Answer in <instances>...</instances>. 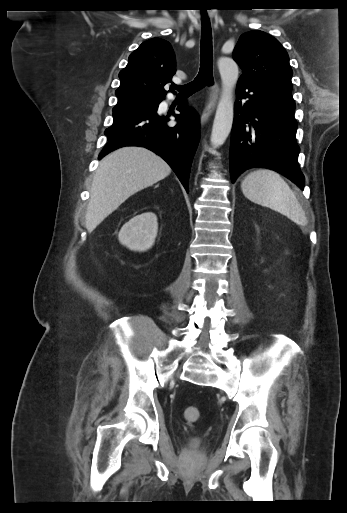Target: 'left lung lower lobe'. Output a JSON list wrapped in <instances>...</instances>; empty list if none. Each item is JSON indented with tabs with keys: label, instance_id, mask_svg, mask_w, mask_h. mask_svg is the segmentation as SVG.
Instances as JSON below:
<instances>
[{
	"label": "left lung lower lobe",
	"instance_id": "obj_1",
	"mask_svg": "<svg viewBox=\"0 0 347 513\" xmlns=\"http://www.w3.org/2000/svg\"><path fill=\"white\" fill-rule=\"evenodd\" d=\"M291 90L290 84L239 79L230 147L232 182L246 169L266 167L304 189Z\"/></svg>",
	"mask_w": 347,
	"mask_h": 513
}]
</instances>
